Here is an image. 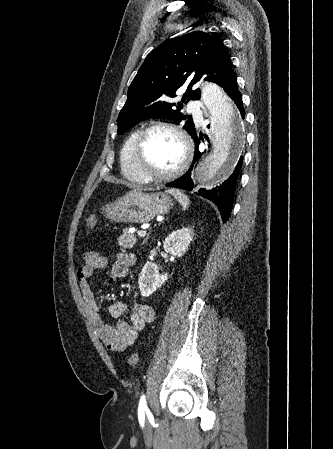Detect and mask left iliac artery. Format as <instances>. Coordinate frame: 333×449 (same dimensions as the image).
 <instances>
[{
  "label": "left iliac artery",
  "mask_w": 333,
  "mask_h": 449,
  "mask_svg": "<svg viewBox=\"0 0 333 449\" xmlns=\"http://www.w3.org/2000/svg\"><path fill=\"white\" fill-rule=\"evenodd\" d=\"M145 412L149 413L147 404H146V398L145 395L143 394L140 398L139 401V406H138V417L139 419H143L144 418V414Z\"/></svg>",
  "instance_id": "1"
}]
</instances>
